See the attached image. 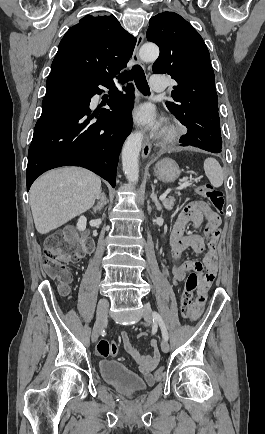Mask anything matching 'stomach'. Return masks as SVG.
<instances>
[{"label":"stomach","instance_id":"0dacf381","mask_svg":"<svg viewBox=\"0 0 265 434\" xmlns=\"http://www.w3.org/2000/svg\"><path fill=\"white\" fill-rule=\"evenodd\" d=\"M179 174V166L171 158H163L154 166V176L161 182H175Z\"/></svg>","mask_w":265,"mask_h":434}]
</instances>
